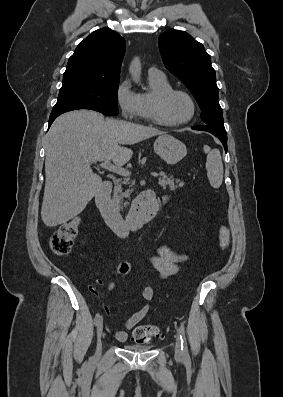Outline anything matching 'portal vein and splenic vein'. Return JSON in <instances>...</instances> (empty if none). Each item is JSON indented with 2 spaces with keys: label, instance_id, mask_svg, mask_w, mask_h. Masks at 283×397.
<instances>
[{
  "label": "portal vein and splenic vein",
  "instance_id": "1",
  "mask_svg": "<svg viewBox=\"0 0 283 397\" xmlns=\"http://www.w3.org/2000/svg\"><path fill=\"white\" fill-rule=\"evenodd\" d=\"M97 161H99V160H94L93 162H97ZM100 166H101L102 168H104V169H107V170H109V171L115 172V173H117V174H119V175H121V176H129V175H130V172H129L127 169L122 168V167H120V166H117V165H115V164H112L109 160L103 161V162L100 164ZM150 174H151L152 176H154V177H158V176L160 175V174H158V173H156V172H151Z\"/></svg>",
  "mask_w": 283,
  "mask_h": 397
}]
</instances>
